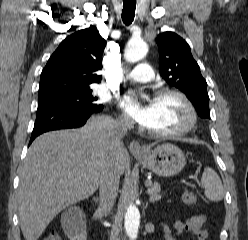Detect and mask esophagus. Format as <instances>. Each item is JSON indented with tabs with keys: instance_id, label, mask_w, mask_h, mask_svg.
<instances>
[{
	"instance_id": "obj_1",
	"label": "esophagus",
	"mask_w": 248,
	"mask_h": 240,
	"mask_svg": "<svg viewBox=\"0 0 248 240\" xmlns=\"http://www.w3.org/2000/svg\"><path fill=\"white\" fill-rule=\"evenodd\" d=\"M129 149L132 154L141 155L145 153V150L142 148L137 140H133L130 142Z\"/></svg>"
}]
</instances>
